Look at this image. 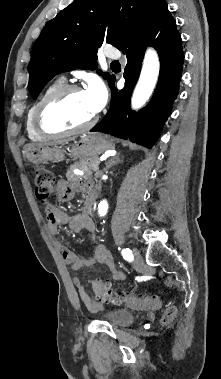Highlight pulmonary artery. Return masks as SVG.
Here are the masks:
<instances>
[{
  "label": "pulmonary artery",
  "mask_w": 221,
  "mask_h": 379,
  "mask_svg": "<svg viewBox=\"0 0 221 379\" xmlns=\"http://www.w3.org/2000/svg\"><path fill=\"white\" fill-rule=\"evenodd\" d=\"M120 56V52L117 50L108 49L105 51V57L108 59H118Z\"/></svg>",
  "instance_id": "obj_1"
}]
</instances>
